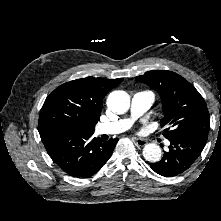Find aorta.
I'll return each instance as SVG.
<instances>
[{
    "mask_svg": "<svg viewBox=\"0 0 221 221\" xmlns=\"http://www.w3.org/2000/svg\"><path fill=\"white\" fill-rule=\"evenodd\" d=\"M107 106L117 114H124L130 107V97L125 91L116 90L109 94ZM145 160L156 163L161 160V148L155 143L146 144L143 148Z\"/></svg>",
    "mask_w": 221,
    "mask_h": 221,
    "instance_id": "762f6f07",
    "label": "aorta"
}]
</instances>
